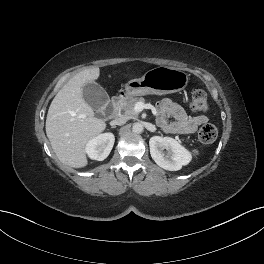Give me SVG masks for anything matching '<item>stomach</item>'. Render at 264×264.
<instances>
[{"mask_svg": "<svg viewBox=\"0 0 264 264\" xmlns=\"http://www.w3.org/2000/svg\"><path fill=\"white\" fill-rule=\"evenodd\" d=\"M188 83V75L179 69L159 66L147 71L141 78L125 84L128 97L147 94H170L182 91Z\"/></svg>", "mask_w": 264, "mask_h": 264, "instance_id": "obj_1", "label": "stomach"}]
</instances>
